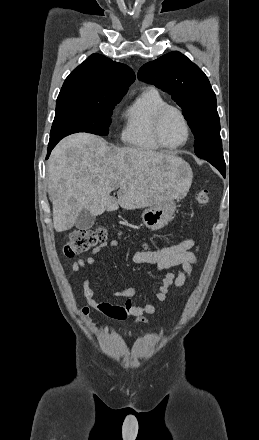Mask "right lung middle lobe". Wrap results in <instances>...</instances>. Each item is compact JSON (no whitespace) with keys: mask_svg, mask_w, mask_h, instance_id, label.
<instances>
[{"mask_svg":"<svg viewBox=\"0 0 259 440\" xmlns=\"http://www.w3.org/2000/svg\"><path fill=\"white\" fill-rule=\"evenodd\" d=\"M121 99L95 101L83 98H57L50 141H59L76 132L108 135L111 114Z\"/></svg>","mask_w":259,"mask_h":440,"instance_id":"obj_1","label":"right lung middle lobe"}]
</instances>
